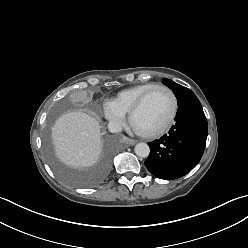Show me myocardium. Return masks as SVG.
Returning a JSON list of instances; mask_svg holds the SVG:
<instances>
[{
	"label": "myocardium",
	"instance_id": "obj_1",
	"mask_svg": "<svg viewBox=\"0 0 248 248\" xmlns=\"http://www.w3.org/2000/svg\"><path fill=\"white\" fill-rule=\"evenodd\" d=\"M156 90H164L170 95L172 99V112L170 114V117L168 118L166 123L162 125L156 131L149 132V133L139 132L133 127V118L137 114V112L143 107L147 98ZM177 113H178V100L174 92L167 86L156 85L153 88L147 90L145 93H143L140 96V98L136 101V103L133 105V107L128 113V121H129L130 126L135 130L137 134H139L142 137L148 138V139H155V138H159L162 135H164L172 127L177 117Z\"/></svg>",
	"mask_w": 248,
	"mask_h": 248
}]
</instances>
